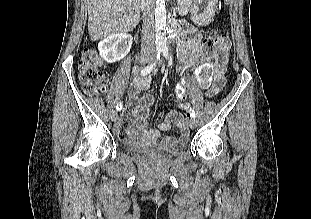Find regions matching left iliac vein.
Returning a JSON list of instances; mask_svg holds the SVG:
<instances>
[{
    "label": "left iliac vein",
    "instance_id": "obj_1",
    "mask_svg": "<svg viewBox=\"0 0 311 219\" xmlns=\"http://www.w3.org/2000/svg\"><path fill=\"white\" fill-rule=\"evenodd\" d=\"M196 125H197V122H196L195 118H190L189 121H188V126L191 129H194L196 127Z\"/></svg>",
    "mask_w": 311,
    "mask_h": 219
}]
</instances>
